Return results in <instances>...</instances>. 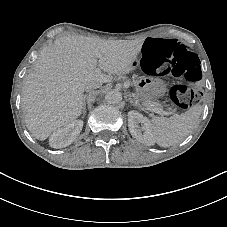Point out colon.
I'll return each mask as SVG.
<instances>
[{"label": "colon", "instance_id": "5ec220e1", "mask_svg": "<svg viewBox=\"0 0 227 227\" xmlns=\"http://www.w3.org/2000/svg\"><path fill=\"white\" fill-rule=\"evenodd\" d=\"M142 64L147 74L177 80L169 91L176 107L187 108L201 98L202 91L196 86L202 77L199 59L178 41L147 39L142 48Z\"/></svg>", "mask_w": 227, "mask_h": 227}]
</instances>
